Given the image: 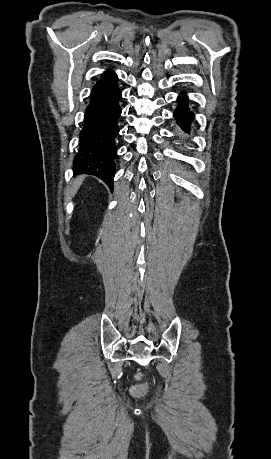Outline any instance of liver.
<instances>
[{
  "instance_id": "1",
  "label": "liver",
  "mask_w": 271,
  "mask_h": 459,
  "mask_svg": "<svg viewBox=\"0 0 271 459\" xmlns=\"http://www.w3.org/2000/svg\"><path fill=\"white\" fill-rule=\"evenodd\" d=\"M84 178H85V176H79V178H77V182H76L75 188L73 190V196H75L77 190H79V186H80V184H82Z\"/></svg>"
}]
</instances>
